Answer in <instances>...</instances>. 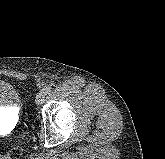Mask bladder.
Wrapping results in <instances>:
<instances>
[{"mask_svg": "<svg viewBox=\"0 0 165 159\" xmlns=\"http://www.w3.org/2000/svg\"><path fill=\"white\" fill-rule=\"evenodd\" d=\"M20 100V95L14 86L0 80V106L17 105Z\"/></svg>", "mask_w": 165, "mask_h": 159, "instance_id": "1", "label": "bladder"}]
</instances>
